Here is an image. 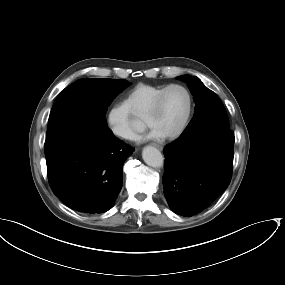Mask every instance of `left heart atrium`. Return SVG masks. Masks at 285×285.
I'll return each mask as SVG.
<instances>
[{
  "mask_svg": "<svg viewBox=\"0 0 285 285\" xmlns=\"http://www.w3.org/2000/svg\"><path fill=\"white\" fill-rule=\"evenodd\" d=\"M151 136L152 137H158L160 136L157 132H155L154 130L151 132Z\"/></svg>",
  "mask_w": 285,
  "mask_h": 285,
  "instance_id": "1",
  "label": "left heart atrium"
}]
</instances>
